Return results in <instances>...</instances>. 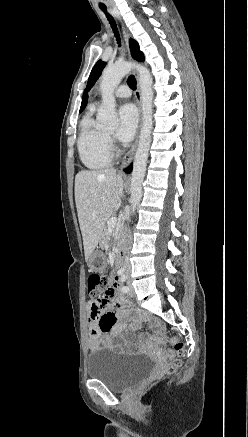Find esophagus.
<instances>
[{"label":"esophagus","instance_id":"esophagus-1","mask_svg":"<svg viewBox=\"0 0 248 437\" xmlns=\"http://www.w3.org/2000/svg\"><path fill=\"white\" fill-rule=\"evenodd\" d=\"M117 18L120 21L123 37H124V40H125V43H126L128 49H129L130 34H129L126 26L124 25L121 17L119 15H117ZM134 75H135V78L137 81V89L135 92V97H136L139 112H140V123L138 126V131H137L135 140H134L131 148L122 158L121 169L126 168L131 163V161L133 159V156H134L136 149H137L138 140H139V131H140V127H141L142 96H141V89H140L139 73L137 70L134 71Z\"/></svg>","mask_w":248,"mask_h":437}]
</instances>
